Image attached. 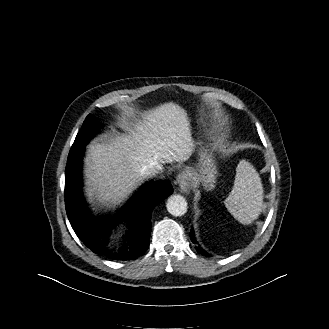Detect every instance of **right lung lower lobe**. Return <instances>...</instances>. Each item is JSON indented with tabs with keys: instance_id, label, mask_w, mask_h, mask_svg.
<instances>
[{
	"instance_id": "obj_1",
	"label": "right lung lower lobe",
	"mask_w": 329,
	"mask_h": 329,
	"mask_svg": "<svg viewBox=\"0 0 329 329\" xmlns=\"http://www.w3.org/2000/svg\"><path fill=\"white\" fill-rule=\"evenodd\" d=\"M84 151L67 160L65 207L69 222L79 239L94 253L113 260L135 259L149 246L152 210L173 192V188L169 181L149 182L136 192L122 212L130 225L127 243L118 252H112L106 245L113 222L107 217H93L82 195L81 165Z\"/></svg>"
}]
</instances>
